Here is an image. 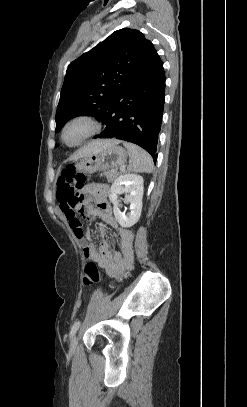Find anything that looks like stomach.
Instances as JSON below:
<instances>
[{
    "label": "stomach",
    "instance_id": "obj_1",
    "mask_svg": "<svg viewBox=\"0 0 247 407\" xmlns=\"http://www.w3.org/2000/svg\"><path fill=\"white\" fill-rule=\"evenodd\" d=\"M127 160V151L119 145L105 149L81 158L76 162L77 172L92 174L101 170H110L123 165Z\"/></svg>",
    "mask_w": 247,
    "mask_h": 407
}]
</instances>
